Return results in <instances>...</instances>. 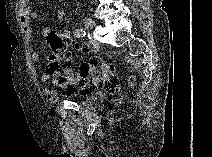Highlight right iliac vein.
<instances>
[{"mask_svg":"<svg viewBox=\"0 0 212 157\" xmlns=\"http://www.w3.org/2000/svg\"><path fill=\"white\" fill-rule=\"evenodd\" d=\"M83 23L88 30H92L95 27V21L89 17H84Z\"/></svg>","mask_w":212,"mask_h":157,"instance_id":"63e3f726","label":"right iliac vein"}]
</instances>
